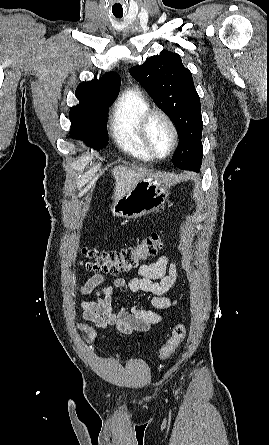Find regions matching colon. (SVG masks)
<instances>
[{
  "mask_svg": "<svg viewBox=\"0 0 269 445\" xmlns=\"http://www.w3.org/2000/svg\"><path fill=\"white\" fill-rule=\"evenodd\" d=\"M164 232H154L133 247L120 250H94L82 248L83 264L86 268L109 274L130 271L139 266L142 260L155 256L163 247ZM186 335L184 324H177L170 338L160 348L158 356L161 359L170 357L180 346Z\"/></svg>",
  "mask_w": 269,
  "mask_h": 445,
  "instance_id": "5ec220e1",
  "label": "colon"
}]
</instances>
